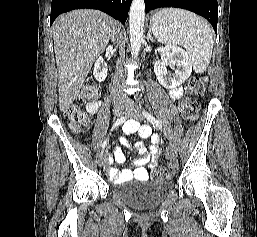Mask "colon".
<instances>
[{"instance_id": "5ec220e1", "label": "colon", "mask_w": 257, "mask_h": 237, "mask_svg": "<svg viewBox=\"0 0 257 237\" xmlns=\"http://www.w3.org/2000/svg\"><path fill=\"white\" fill-rule=\"evenodd\" d=\"M207 77L197 75L190 79L187 85V97L180 104V115L187 122H194L198 118L199 105L190 97L201 95L205 92ZM97 91L93 84L87 83L79 93L80 103L92 100L96 97ZM66 118L70 122L73 131L80 132L89 124V119L83 109L78 104H73L66 110ZM171 177V166L157 168L152 172V179L166 180Z\"/></svg>"}]
</instances>
